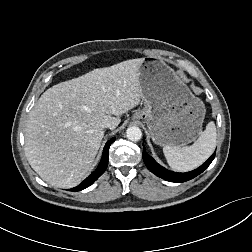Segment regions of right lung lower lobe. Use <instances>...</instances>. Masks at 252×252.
Here are the masks:
<instances>
[{
	"mask_svg": "<svg viewBox=\"0 0 252 252\" xmlns=\"http://www.w3.org/2000/svg\"><path fill=\"white\" fill-rule=\"evenodd\" d=\"M114 141H115V138H112L105 144L103 154H102V159L97 169L90 176H88L81 184L70 189L71 191H80L89 187L103 174V172L106 170L108 166L109 147Z\"/></svg>",
	"mask_w": 252,
	"mask_h": 252,
	"instance_id": "obj_1",
	"label": "right lung lower lobe"
}]
</instances>
